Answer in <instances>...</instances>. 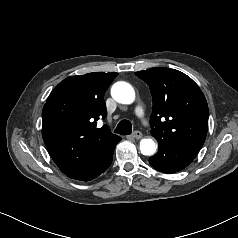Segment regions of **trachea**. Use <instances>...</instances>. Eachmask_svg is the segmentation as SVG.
I'll return each mask as SVG.
<instances>
[{
  "label": "trachea",
  "instance_id": "obj_1",
  "mask_svg": "<svg viewBox=\"0 0 238 238\" xmlns=\"http://www.w3.org/2000/svg\"><path fill=\"white\" fill-rule=\"evenodd\" d=\"M115 133L120 135H129L132 132V125L128 120H122L118 123L116 129L114 130Z\"/></svg>",
  "mask_w": 238,
  "mask_h": 238
}]
</instances>
